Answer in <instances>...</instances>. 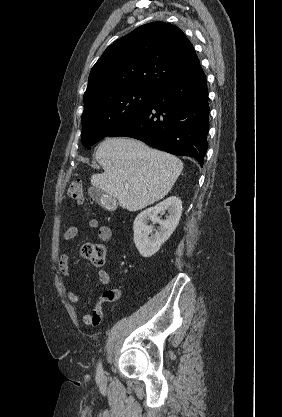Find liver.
Listing matches in <instances>:
<instances>
[{
    "label": "liver",
    "mask_w": 282,
    "mask_h": 417,
    "mask_svg": "<svg viewBox=\"0 0 282 417\" xmlns=\"http://www.w3.org/2000/svg\"><path fill=\"white\" fill-rule=\"evenodd\" d=\"M96 160L104 172L92 174L91 184L116 196L127 211H140L163 198L183 168L174 154L128 136L105 138L96 150Z\"/></svg>",
    "instance_id": "obj_1"
}]
</instances>
